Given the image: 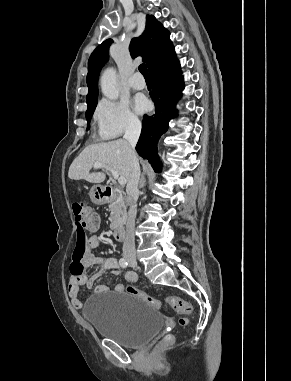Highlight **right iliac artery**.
Here are the masks:
<instances>
[{
  "label": "right iliac artery",
  "mask_w": 291,
  "mask_h": 381,
  "mask_svg": "<svg viewBox=\"0 0 291 381\" xmlns=\"http://www.w3.org/2000/svg\"><path fill=\"white\" fill-rule=\"evenodd\" d=\"M119 264L122 268H126L128 266V262L126 259L124 258H121L120 261H119Z\"/></svg>",
  "instance_id": "obj_1"
}]
</instances>
